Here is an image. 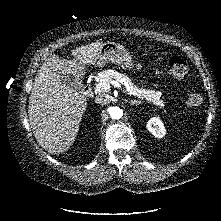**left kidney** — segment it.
Returning <instances> with one entry per match:
<instances>
[{"mask_svg": "<svg viewBox=\"0 0 221 221\" xmlns=\"http://www.w3.org/2000/svg\"><path fill=\"white\" fill-rule=\"evenodd\" d=\"M147 129L158 138L164 137L166 133V129L158 117H153L147 122Z\"/></svg>", "mask_w": 221, "mask_h": 221, "instance_id": "1", "label": "left kidney"}]
</instances>
